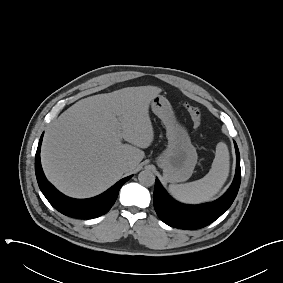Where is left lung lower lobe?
<instances>
[{
    "label": "left lung lower lobe",
    "instance_id": "obj_1",
    "mask_svg": "<svg viewBox=\"0 0 283 283\" xmlns=\"http://www.w3.org/2000/svg\"><path fill=\"white\" fill-rule=\"evenodd\" d=\"M236 174L227 192L212 203L185 205L173 200L161 186L158 179L154 188V208L159 218L169 226L179 229H199L218 219L233 203L240 186V155L237 144Z\"/></svg>",
    "mask_w": 283,
    "mask_h": 283
}]
</instances>
